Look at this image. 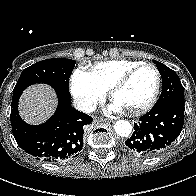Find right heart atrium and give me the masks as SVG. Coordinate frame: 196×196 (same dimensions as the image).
Segmentation results:
<instances>
[{"mask_svg": "<svg viewBox=\"0 0 196 196\" xmlns=\"http://www.w3.org/2000/svg\"><path fill=\"white\" fill-rule=\"evenodd\" d=\"M71 93L79 107L87 112L93 111L106 96L104 90L90 72L78 68L71 78Z\"/></svg>", "mask_w": 196, "mask_h": 196, "instance_id": "d8ad5b80", "label": "right heart atrium"}]
</instances>
